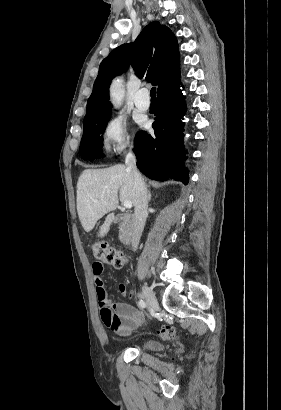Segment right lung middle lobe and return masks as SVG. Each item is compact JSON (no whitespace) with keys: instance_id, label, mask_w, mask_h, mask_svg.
Wrapping results in <instances>:
<instances>
[{"instance_id":"right-lung-middle-lobe-1","label":"right lung middle lobe","mask_w":281,"mask_h":410,"mask_svg":"<svg viewBox=\"0 0 281 410\" xmlns=\"http://www.w3.org/2000/svg\"><path fill=\"white\" fill-rule=\"evenodd\" d=\"M111 113L98 119L84 123L83 137L80 145V153L83 159L94 160L103 157V136Z\"/></svg>"}]
</instances>
